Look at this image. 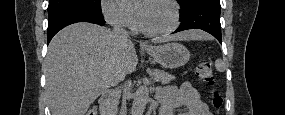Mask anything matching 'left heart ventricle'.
I'll return each instance as SVG.
<instances>
[{
    "instance_id": "obj_1",
    "label": "left heart ventricle",
    "mask_w": 285,
    "mask_h": 115,
    "mask_svg": "<svg viewBox=\"0 0 285 115\" xmlns=\"http://www.w3.org/2000/svg\"><path fill=\"white\" fill-rule=\"evenodd\" d=\"M143 26L148 30L162 31L174 23L171 6L164 1L145 2L137 7Z\"/></svg>"
}]
</instances>
